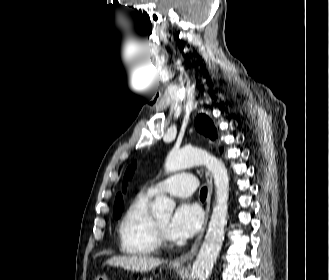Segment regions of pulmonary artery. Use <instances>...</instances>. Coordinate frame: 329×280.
Returning a JSON list of instances; mask_svg holds the SVG:
<instances>
[{
    "mask_svg": "<svg viewBox=\"0 0 329 280\" xmlns=\"http://www.w3.org/2000/svg\"><path fill=\"white\" fill-rule=\"evenodd\" d=\"M197 189V180L193 174L179 173L152 185L148 192L156 195L168 192L177 197H188Z\"/></svg>",
    "mask_w": 329,
    "mask_h": 280,
    "instance_id": "pulmonary-artery-1",
    "label": "pulmonary artery"
}]
</instances>
